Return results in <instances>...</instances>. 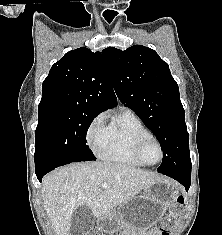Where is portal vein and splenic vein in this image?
I'll use <instances>...</instances> for the list:
<instances>
[{"mask_svg":"<svg viewBox=\"0 0 222 235\" xmlns=\"http://www.w3.org/2000/svg\"><path fill=\"white\" fill-rule=\"evenodd\" d=\"M101 187H102V188H107V187H108V184H107V183H103V184H101Z\"/></svg>","mask_w":222,"mask_h":235,"instance_id":"18ae733b","label":"portal vein and splenic vein"}]
</instances>
